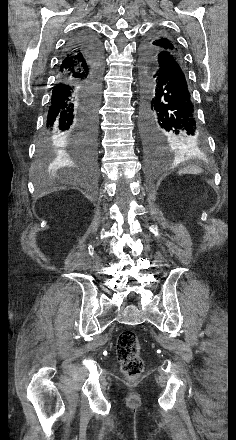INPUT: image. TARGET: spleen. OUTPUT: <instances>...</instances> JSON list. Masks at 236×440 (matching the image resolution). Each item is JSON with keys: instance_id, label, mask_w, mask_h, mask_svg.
<instances>
[{"instance_id": "3e777b00", "label": "spleen", "mask_w": 236, "mask_h": 440, "mask_svg": "<svg viewBox=\"0 0 236 440\" xmlns=\"http://www.w3.org/2000/svg\"><path fill=\"white\" fill-rule=\"evenodd\" d=\"M183 172H190V173H201L202 169L198 166H188L187 168L183 169Z\"/></svg>"}]
</instances>
